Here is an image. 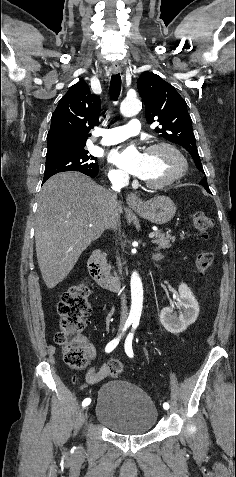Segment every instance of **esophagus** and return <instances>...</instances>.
Returning a JSON list of instances; mask_svg holds the SVG:
<instances>
[{"instance_id":"obj_1","label":"esophagus","mask_w":236,"mask_h":477,"mask_svg":"<svg viewBox=\"0 0 236 477\" xmlns=\"http://www.w3.org/2000/svg\"><path fill=\"white\" fill-rule=\"evenodd\" d=\"M111 71L112 73L117 74L120 72V67L114 64L111 66ZM126 201L129 207L133 209H141L143 206L141 198L135 193H130L126 198Z\"/></svg>"}]
</instances>
